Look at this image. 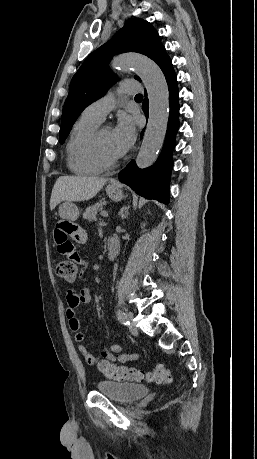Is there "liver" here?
<instances>
[{
    "instance_id": "obj_1",
    "label": "liver",
    "mask_w": 257,
    "mask_h": 459,
    "mask_svg": "<svg viewBox=\"0 0 257 459\" xmlns=\"http://www.w3.org/2000/svg\"><path fill=\"white\" fill-rule=\"evenodd\" d=\"M105 178L88 176H61L53 187L50 198V209L60 202H79L93 198L105 185Z\"/></svg>"
}]
</instances>
